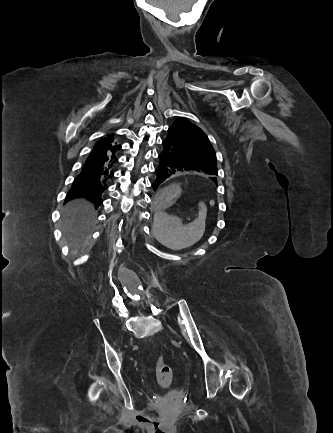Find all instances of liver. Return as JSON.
Segmentation results:
<instances>
[{
    "mask_svg": "<svg viewBox=\"0 0 333 433\" xmlns=\"http://www.w3.org/2000/svg\"><path fill=\"white\" fill-rule=\"evenodd\" d=\"M63 215L64 235L69 238L73 248H79L95 223L94 206L85 199H75L66 204Z\"/></svg>",
    "mask_w": 333,
    "mask_h": 433,
    "instance_id": "liver-1",
    "label": "liver"
}]
</instances>
